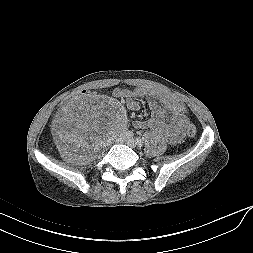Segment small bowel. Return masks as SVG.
Returning <instances> with one entry per match:
<instances>
[{
	"mask_svg": "<svg viewBox=\"0 0 253 253\" xmlns=\"http://www.w3.org/2000/svg\"><path fill=\"white\" fill-rule=\"evenodd\" d=\"M113 95L125 103L130 110L139 109L135 98L145 97L150 101L152 117L146 121H135L133 123L135 128L151 129L170 144H177L183 139V127L188 121L187 109L177 98L146 89L117 88ZM68 109L64 111L65 115L59 121L61 133H66Z\"/></svg>",
	"mask_w": 253,
	"mask_h": 253,
	"instance_id": "c3829d8e",
	"label": "small bowel"
}]
</instances>
